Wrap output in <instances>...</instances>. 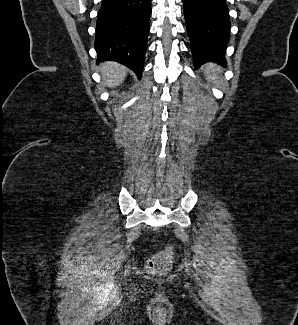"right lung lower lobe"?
I'll return each mask as SVG.
<instances>
[{
    "mask_svg": "<svg viewBox=\"0 0 298 325\" xmlns=\"http://www.w3.org/2000/svg\"><path fill=\"white\" fill-rule=\"evenodd\" d=\"M151 0H102L97 16V63L117 61L140 78L147 49Z\"/></svg>",
    "mask_w": 298,
    "mask_h": 325,
    "instance_id": "obj_1",
    "label": "right lung lower lobe"
}]
</instances>
